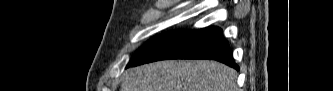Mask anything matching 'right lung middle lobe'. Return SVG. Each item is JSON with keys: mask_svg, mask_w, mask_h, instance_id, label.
I'll return each instance as SVG.
<instances>
[{"mask_svg": "<svg viewBox=\"0 0 333 91\" xmlns=\"http://www.w3.org/2000/svg\"><path fill=\"white\" fill-rule=\"evenodd\" d=\"M173 32H167L158 36H155L151 38L148 42H146L133 56L131 59L130 63L128 64L127 67H129L131 64L142 58L145 54H147L150 50L158 46L160 43H162L165 39H167L169 36H171Z\"/></svg>", "mask_w": 333, "mask_h": 91, "instance_id": "obj_1", "label": "right lung middle lobe"}]
</instances>
